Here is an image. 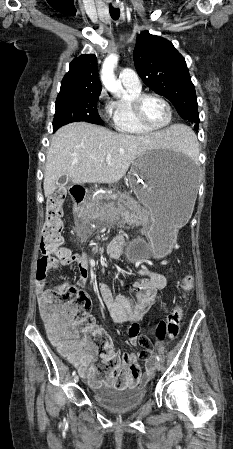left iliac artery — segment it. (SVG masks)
<instances>
[{
  "mask_svg": "<svg viewBox=\"0 0 233 449\" xmlns=\"http://www.w3.org/2000/svg\"><path fill=\"white\" fill-rule=\"evenodd\" d=\"M155 358H156L157 361H160V360H161L160 357H159V355H156Z\"/></svg>",
  "mask_w": 233,
  "mask_h": 449,
  "instance_id": "obj_1",
  "label": "left iliac artery"
}]
</instances>
